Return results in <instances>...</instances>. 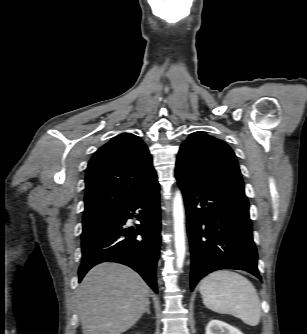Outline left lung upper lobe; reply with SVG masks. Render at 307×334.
<instances>
[{
    "mask_svg": "<svg viewBox=\"0 0 307 334\" xmlns=\"http://www.w3.org/2000/svg\"><path fill=\"white\" fill-rule=\"evenodd\" d=\"M176 174L244 194V182L234 152L224 141L205 132H194L182 143Z\"/></svg>",
    "mask_w": 307,
    "mask_h": 334,
    "instance_id": "obj_1",
    "label": "left lung upper lobe"
}]
</instances>
